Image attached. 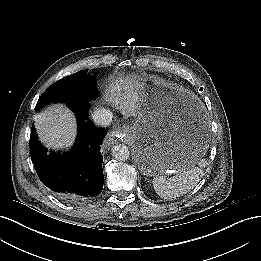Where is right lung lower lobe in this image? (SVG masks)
I'll return each mask as SVG.
<instances>
[{
	"instance_id": "98d812e1",
	"label": "right lung lower lobe",
	"mask_w": 261,
	"mask_h": 261,
	"mask_svg": "<svg viewBox=\"0 0 261 261\" xmlns=\"http://www.w3.org/2000/svg\"><path fill=\"white\" fill-rule=\"evenodd\" d=\"M71 107L79 125L73 147L62 155L48 153L33 131L30 155L39 179L46 187L64 201L79 202L102 192L104 177L100 145L107 130L96 129L88 120V101Z\"/></svg>"
}]
</instances>
